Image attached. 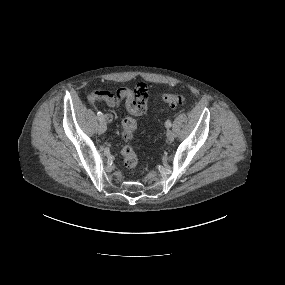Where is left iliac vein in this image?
I'll use <instances>...</instances> for the list:
<instances>
[{
  "instance_id": "4c4485c4",
  "label": "left iliac vein",
  "mask_w": 285,
  "mask_h": 285,
  "mask_svg": "<svg viewBox=\"0 0 285 285\" xmlns=\"http://www.w3.org/2000/svg\"><path fill=\"white\" fill-rule=\"evenodd\" d=\"M174 138H175L174 132H172L171 130H168V131H167V139H168L169 141H173Z\"/></svg>"
}]
</instances>
